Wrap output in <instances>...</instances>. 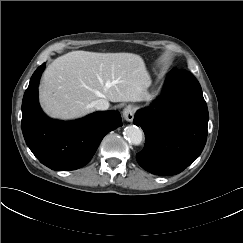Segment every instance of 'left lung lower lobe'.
Segmentation results:
<instances>
[{
    "mask_svg": "<svg viewBox=\"0 0 243 243\" xmlns=\"http://www.w3.org/2000/svg\"><path fill=\"white\" fill-rule=\"evenodd\" d=\"M208 119L196 78L186 70H171L160 98L134 117L146 138L144 149L136 156L139 165L162 176L182 172L205 146Z\"/></svg>",
    "mask_w": 243,
    "mask_h": 243,
    "instance_id": "obj_1",
    "label": "left lung lower lobe"
}]
</instances>
